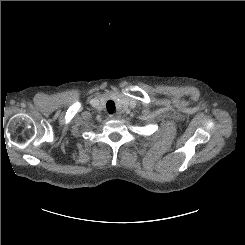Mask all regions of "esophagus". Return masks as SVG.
I'll use <instances>...</instances> for the list:
<instances>
[{"label":"esophagus","instance_id":"obj_1","mask_svg":"<svg viewBox=\"0 0 245 245\" xmlns=\"http://www.w3.org/2000/svg\"><path fill=\"white\" fill-rule=\"evenodd\" d=\"M121 116L119 113H116V114H113V115H110V118L113 119V120H117L119 119Z\"/></svg>","mask_w":245,"mask_h":245}]
</instances>
